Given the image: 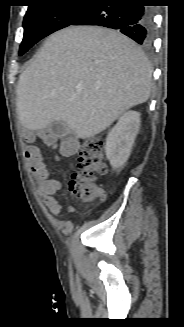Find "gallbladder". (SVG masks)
I'll list each match as a JSON object with an SVG mask.
<instances>
[{"label": "gallbladder", "instance_id": "1", "mask_svg": "<svg viewBox=\"0 0 184 327\" xmlns=\"http://www.w3.org/2000/svg\"><path fill=\"white\" fill-rule=\"evenodd\" d=\"M68 125L63 121L53 122L49 128L48 132L55 137H64L69 133Z\"/></svg>", "mask_w": 184, "mask_h": 327}]
</instances>
